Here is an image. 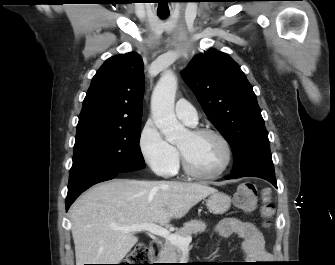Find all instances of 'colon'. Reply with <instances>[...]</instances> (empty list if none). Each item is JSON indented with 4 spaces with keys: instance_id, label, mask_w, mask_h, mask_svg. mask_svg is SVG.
I'll return each mask as SVG.
<instances>
[{
    "instance_id": "5ec220e1",
    "label": "colon",
    "mask_w": 335,
    "mask_h": 265,
    "mask_svg": "<svg viewBox=\"0 0 335 265\" xmlns=\"http://www.w3.org/2000/svg\"><path fill=\"white\" fill-rule=\"evenodd\" d=\"M262 204L260 214L264 220L270 219L274 214V206L270 201V195L267 189L261 191ZM258 202V189L255 183L251 181L244 182L239 185L235 195V205L245 211H253ZM150 249L144 244L136 245L125 259L122 265H149Z\"/></svg>"
}]
</instances>
